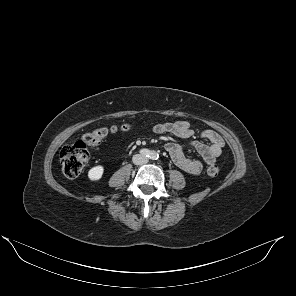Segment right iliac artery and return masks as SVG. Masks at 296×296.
Returning a JSON list of instances; mask_svg holds the SVG:
<instances>
[{
	"label": "right iliac artery",
	"instance_id": "1",
	"mask_svg": "<svg viewBox=\"0 0 296 296\" xmlns=\"http://www.w3.org/2000/svg\"><path fill=\"white\" fill-rule=\"evenodd\" d=\"M140 153H141L143 156H146V157H150V156H151V152H150L148 149H141V150H140Z\"/></svg>",
	"mask_w": 296,
	"mask_h": 296
}]
</instances>
